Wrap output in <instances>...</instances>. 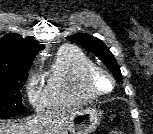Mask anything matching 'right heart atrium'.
<instances>
[{"label": "right heart atrium", "instance_id": "obj_1", "mask_svg": "<svg viewBox=\"0 0 153 134\" xmlns=\"http://www.w3.org/2000/svg\"><path fill=\"white\" fill-rule=\"evenodd\" d=\"M26 96L33 108L40 110L44 104L43 89L37 75H32L26 84Z\"/></svg>", "mask_w": 153, "mask_h": 134}]
</instances>
